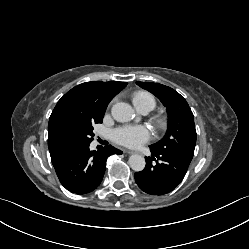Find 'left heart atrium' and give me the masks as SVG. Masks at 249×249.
<instances>
[{
	"mask_svg": "<svg viewBox=\"0 0 249 249\" xmlns=\"http://www.w3.org/2000/svg\"><path fill=\"white\" fill-rule=\"evenodd\" d=\"M151 131L144 125H125L112 132V139L123 146L136 148L149 141Z\"/></svg>",
	"mask_w": 249,
	"mask_h": 249,
	"instance_id": "39dd6f15",
	"label": "left heart atrium"
}]
</instances>
